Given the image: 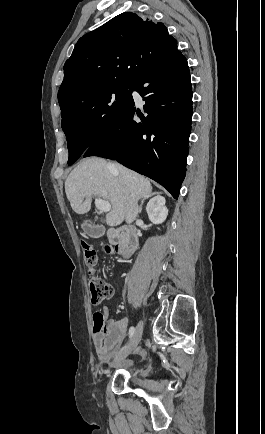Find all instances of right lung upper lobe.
Wrapping results in <instances>:
<instances>
[{
    "label": "right lung upper lobe",
    "mask_w": 265,
    "mask_h": 434,
    "mask_svg": "<svg viewBox=\"0 0 265 434\" xmlns=\"http://www.w3.org/2000/svg\"><path fill=\"white\" fill-rule=\"evenodd\" d=\"M176 46L162 22L132 12L119 14L78 40L64 65L58 97L107 78L135 81Z\"/></svg>",
    "instance_id": "right-lung-upper-lobe-1"
}]
</instances>
